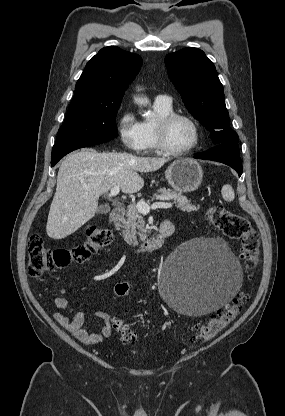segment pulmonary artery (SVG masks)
Returning <instances> with one entry per match:
<instances>
[{
  "instance_id": "pulmonary-artery-1",
  "label": "pulmonary artery",
  "mask_w": 285,
  "mask_h": 416,
  "mask_svg": "<svg viewBox=\"0 0 285 416\" xmlns=\"http://www.w3.org/2000/svg\"><path fill=\"white\" fill-rule=\"evenodd\" d=\"M156 101H161V102L169 104V105H171V103H172V99L168 95H157L156 96Z\"/></svg>"
}]
</instances>
